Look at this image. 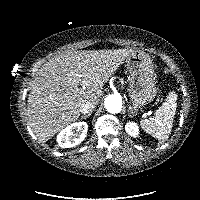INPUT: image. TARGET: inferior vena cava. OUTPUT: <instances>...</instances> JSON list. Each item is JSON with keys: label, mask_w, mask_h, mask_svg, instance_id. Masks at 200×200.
Masks as SVG:
<instances>
[{"label": "inferior vena cava", "mask_w": 200, "mask_h": 200, "mask_svg": "<svg viewBox=\"0 0 200 200\" xmlns=\"http://www.w3.org/2000/svg\"><path fill=\"white\" fill-rule=\"evenodd\" d=\"M94 107H95L94 102L86 100L85 102L82 103L80 107V112L83 114H88L93 111Z\"/></svg>", "instance_id": "inferior-vena-cava-1"}]
</instances>
